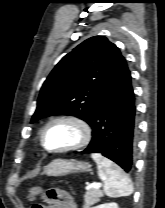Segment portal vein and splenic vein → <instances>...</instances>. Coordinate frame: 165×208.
I'll list each match as a JSON object with an SVG mask.
<instances>
[{
    "mask_svg": "<svg viewBox=\"0 0 165 208\" xmlns=\"http://www.w3.org/2000/svg\"><path fill=\"white\" fill-rule=\"evenodd\" d=\"M102 186L101 183H91V184H87L86 189L90 190L92 188H100Z\"/></svg>",
    "mask_w": 165,
    "mask_h": 208,
    "instance_id": "obj_1",
    "label": "portal vein and splenic vein"
}]
</instances>
